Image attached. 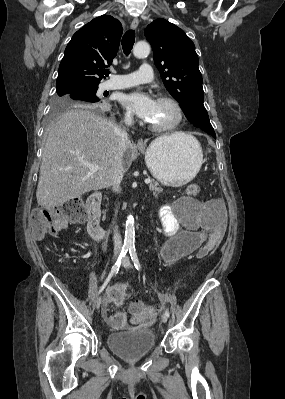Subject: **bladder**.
<instances>
[{
  "instance_id": "1",
  "label": "bladder",
  "mask_w": 285,
  "mask_h": 399,
  "mask_svg": "<svg viewBox=\"0 0 285 399\" xmlns=\"http://www.w3.org/2000/svg\"><path fill=\"white\" fill-rule=\"evenodd\" d=\"M194 200L186 197L179 198L175 205L185 209ZM108 348L117 356L125 360H134L152 352L156 345V336L152 330H133L127 332H110L107 334Z\"/></svg>"
}]
</instances>
